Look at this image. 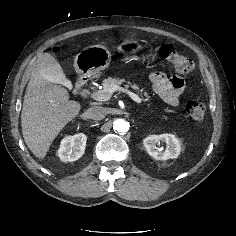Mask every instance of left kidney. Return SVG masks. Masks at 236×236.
Here are the masks:
<instances>
[{
	"mask_svg": "<svg viewBox=\"0 0 236 236\" xmlns=\"http://www.w3.org/2000/svg\"><path fill=\"white\" fill-rule=\"evenodd\" d=\"M166 143V149L158 148L157 145ZM143 145L148 154L156 160H168L177 158L181 152L179 139L173 134L150 135L143 140Z\"/></svg>",
	"mask_w": 236,
	"mask_h": 236,
	"instance_id": "obj_1",
	"label": "left kidney"
}]
</instances>
